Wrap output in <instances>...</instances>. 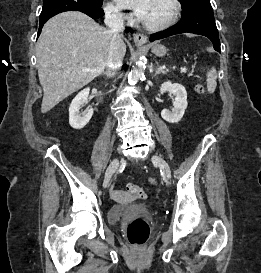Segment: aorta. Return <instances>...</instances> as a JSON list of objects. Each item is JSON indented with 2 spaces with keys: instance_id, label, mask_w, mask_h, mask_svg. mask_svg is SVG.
<instances>
[{
  "instance_id": "obj_1",
  "label": "aorta",
  "mask_w": 261,
  "mask_h": 273,
  "mask_svg": "<svg viewBox=\"0 0 261 273\" xmlns=\"http://www.w3.org/2000/svg\"><path fill=\"white\" fill-rule=\"evenodd\" d=\"M145 69V63L143 59H140L138 62H136V66H134L129 75H128V82L130 84H135L138 82L140 77L144 74Z\"/></svg>"
}]
</instances>
